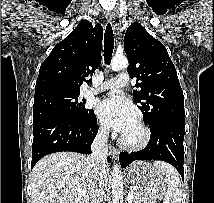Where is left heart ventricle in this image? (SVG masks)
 Segmentation results:
<instances>
[{"mask_svg": "<svg viewBox=\"0 0 214 203\" xmlns=\"http://www.w3.org/2000/svg\"><path fill=\"white\" fill-rule=\"evenodd\" d=\"M128 138L133 139L138 136V128L135 126L132 130L125 134Z\"/></svg>", "mask_w": 214, "mask_h": 203, "instance_id": "left-heart-ventricle-1", "label": "left heart ventricle"}]
</instances>
